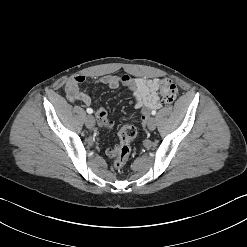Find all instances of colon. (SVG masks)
Instances as JSON below:
<instances>
[{
    "mask_svg": "<svg viewBox=\"0 0 247 247\" xmlns=\"http://www.w3.org/2000/svg\"><path fill=\"white\" fill-rule=\"evenodd\" d=\"M160 92L165 103L171 104L177 98V88L168 79L160 81ZM137 136V129L131 124H125L118 132L119 144L114 147V166L121 170L126 165L130 153L131 143Z\"/></svg>",
    "mask_w": 247,
    "mask_h": 247,
    "instance_id": "5ec220e1",
    "label": "colon"
}]
</instances>
